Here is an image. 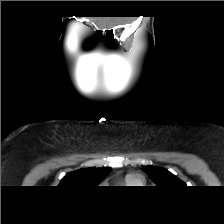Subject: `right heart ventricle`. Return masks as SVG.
I'll use <instances>...</instances> for the list:
<instances>
[{
    "label": "right heart ventricle",
    "instance_id": "obj_1",
    "mask_svg": "<svg viewBox=\"0 0 224 224\" xmlns=\"http://www.w3.org/2000/svg\"><path fill=\"white\" fill-rule=\"evenodd\" d=\"M125 182H126V184L131 185V186L137 185L139 183L138 181L131 179V178H127Z\"/></svg>",
    "mask_w": 224,
    "mask_h": 224
}]
</instances>
